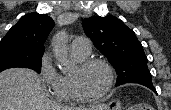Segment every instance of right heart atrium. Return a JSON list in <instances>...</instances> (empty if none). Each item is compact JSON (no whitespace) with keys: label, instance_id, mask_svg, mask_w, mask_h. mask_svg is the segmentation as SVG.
I'll list each match as a JSON object with an SVG mask.
<instances>
[{"label":"right heart atrium","instance_id":"right-heart-atrium-1","mask_svg":"<svg viewBox=\"0 0 171 110\" xmlns=\"http://www.w3.org/2000/svg\"><path fill=\"white\" fill-rule=\"evenodd\" d=\"M39 77L42 83L51 92L59 81L60 75L53 66L49 53H45L40 60Z\"/></svg>","mask_w":171,"mask_h":110}]
</instances>
